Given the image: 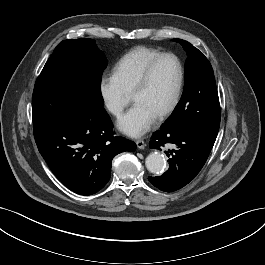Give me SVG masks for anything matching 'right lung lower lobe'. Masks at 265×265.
I'll use <instances>...</instances> for the list:
<instances>
[{"mask_svg": "<svg viewBox=\"0 0 265 265\" xmlns=\"http://www.w3.org/2000/svg\"><path fill=\"white\" fill-rule=\"evenodd\" d=\"M103 105L81 100L34 129L39 152L55 176L71 191L92 195L110 179L112 159L136 144L114 136Z\"/></svg>", "mask_w": 265, "mask_h": 265, "instance_id": "obj_1", "label": "right lung lower lobe"}]
</instances>
